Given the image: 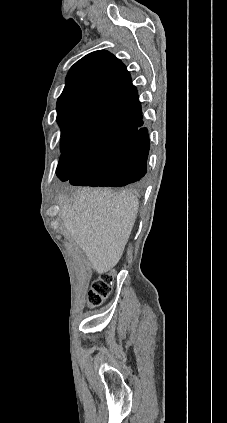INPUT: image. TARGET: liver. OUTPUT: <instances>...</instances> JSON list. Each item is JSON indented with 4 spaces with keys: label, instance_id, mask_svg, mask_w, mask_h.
Segmentation results:
<instances>
[{
    "label": "liver",
    "instance_id": "6515ba94",
    "mask_svg": "<svg viewBox=\"0 0 227 423\" xmlns=\"http://www.w3.org/2000/svg\"><path fill=\"white\" fill-rule=\"evenodd\" d=\"M59 204L63 233L78 243L94 271L104 273L113 269L136 219L139 208L136 196L82 188L70 206L64 196H59Z\"/></svg>",
    "mask_w": 227,
    "mask_h": 423
}]
</instances>
